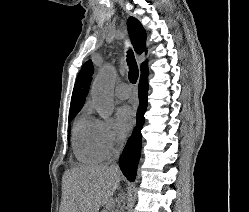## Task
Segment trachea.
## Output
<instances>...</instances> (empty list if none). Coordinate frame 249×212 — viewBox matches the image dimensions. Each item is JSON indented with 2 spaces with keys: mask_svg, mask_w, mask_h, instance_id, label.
Instances as JSON below:
<instances>
[{
  "mask_svg": "<svg viewBox=\"0 0 249 212\" xmlns=\"http://www.w3.org/2000/svg\"><path fill=\"white\" fill-rule=\"evenodd\" d=\"M127 64L129 66L128 78L131 83L135 84L138 79L139 71L132 50L127 52Z\"/></svg>",
  "mask_w": 249,
  "mask_h": 212,
  "instance_id": "1",
  "label": "trachea"
}]
</instances>
